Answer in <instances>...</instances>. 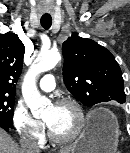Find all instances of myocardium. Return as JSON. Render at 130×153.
<instances>
[{
	"mask_svg": "<svg viewBox=\"0 0 130 153\" xmlns=\"http://www.w3.org/2000/svg\"><path fill=\"white\" fill-rule=\"evenodd\" d=\"M60 105L70 106L71 108L74 109L77 115V125L71 134L67 136H60L56 134L51 129V127L46 123L48 135L50 139L56 143H60V144L71 143L74 140H76L80 136L82 131L84 130V127L86 124L85 112L83 110V107L76 100L71 99V98H63V99L58 100L56 103V106H60Z\"/></svg>",
	"mask_w": 130,
	"mask_h": 153,
	"instance_id": "obj_1",
	"label": "myocardium"
}]
</instances>
